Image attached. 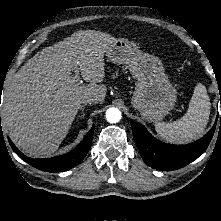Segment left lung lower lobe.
<instances>
[{
	"label": "left lung lower lobe",
	"mask_w": 221,
	"mask_h": 221,
	"mask_svg": "<svg viewBox=\"0 0 221 221\" xmlns=\"http://www.w3.org/2000/svg\"><path fill=\"white\" fill-rule=\"evenodd\" d=\"M134 141L144 162L158 170H175L197 159L207 149L216 127L200 140L187 145H171L155 139L145 127L131 122ZM221 127V117H220Z\"/></svg>",
	"instance_id": "0a47b994"
}]
</instances>
